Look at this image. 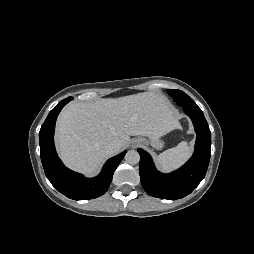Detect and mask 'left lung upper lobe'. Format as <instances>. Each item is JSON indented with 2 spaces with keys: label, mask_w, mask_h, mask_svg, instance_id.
Listing matches in <instances>:
<instances>
[{
  "label": "left lung upper lobe",
  "mask_w": 254,
  "mask_h": 254,
  "mask_svg": "<svg viewBox=\"0 0 254 254\" xmlns=\"http://www.w3.org/2000/svg\"><path fill=\"white\" fill-rule=\"evenodd\" d=\"M168 94L171 95L177 104L184 108L200 109L196 103L183 91L180 90H167Z\"/></svg>",
  "instance_id": "5c2ea615"
}]
</instances>
